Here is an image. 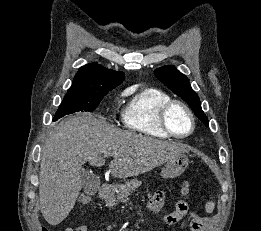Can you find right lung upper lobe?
Listing matches in <instances>:
<instances>
[{"label":"right lung upper lobe","mask_w":261,"mask_h":231,"mask_svg":"<svg viewBox=\"0 0 261 231\" xmlns=\"http://www.w3.org/2000/svg\"><path fill=\"white\" fill-rule=\"evenodd\" d=\"M124 73L92 63L79 69L67 93L109 92L124 80Z\"/></svg>","instance_id":"right-lung-upper-lobe-1"}]
</instances>
